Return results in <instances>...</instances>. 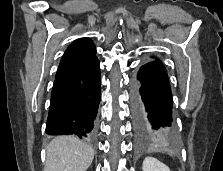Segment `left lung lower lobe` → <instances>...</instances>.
I'll list each match as a JSON object with an SVG mask.
<instances>
[{"instance_id":"0a47b994","label":"left lung lower lobe","mask_w":223,"mask_h":171,"mask_svg":"<svg viewBox=\"0 0 223 171\" xmlns=\"http://www.w3.org/2000/svg\"><path fill=\"white\" fill-rule=\"evenodd\" d=\"M134 134L140 146L176 138L168 75L159 59L140 67L132 81Z\"/></svg>"}]
</instances>
